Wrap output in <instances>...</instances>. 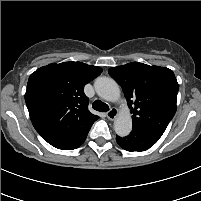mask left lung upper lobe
I'll use <instances>...</instances> for the list:
<instances>
[{
    "instance_id": "5c2ea615",
    "label": "left lung upper lobe",
    "mask_w": 201,
    "mask_h": 201,
    "mask_svg": "<svg viewBox=\"0 0 201 201\" xmlns=\"http://www.w3.org/2000/svg\"><path fill=\"white\" fill-rule=\"evenodd\" d=\"M108 72L123 89L133 113V130L164 133L177 108L179 85L173 71L131 62Z\"/></svg>"
}]
</instances>
